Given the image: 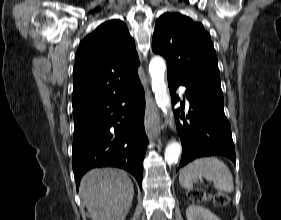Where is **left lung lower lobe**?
<instances>
[{
  "mask_svg": "<svg viewBox=\"0 0 281 220\" xmlns=\"http://www.w3.org/2000/svg\"><path fill=\"white\" fill-rule=\"evenodd\" d=\"M168 85L172 98L179 85L185 86V94L190 102L188 121L179 119L180 109L175 111L183 150L179 168L196 158L212 155L228 157L235 163V147L230 124L224 114L223 100L198 85L178 79L168 78ZM182 106L185 104L182 103ZM181 113L184 114L183 111Z\"/></svg>",
  "mask_w": 281,
  "mask_h": 220,
  "instance_id": "0a47b994",
  "label": "left lung lower lobe"
}]
</instances>
